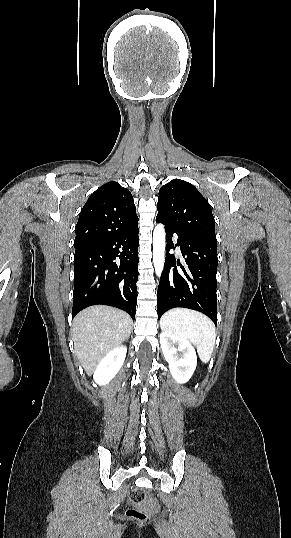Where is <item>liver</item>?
Returning a JSON list of instances; mask_svg holds the SVG:
<instances>
[{"label": "liver", "instance_id": "6515ba94", "mask_svg": "<svg viewBox=\"0 0 291 538\" xmlns=\"http://www.w3.org/2000/svg\"><path fill=\"white\" fill-rule=\"evenodd\" d=\"M130 316L109 306H91L77 314L72 324L74 353L87 375L132 331Z\"/></svg>", "mask_w": 291, "mask_h": 538}]
</instances>
